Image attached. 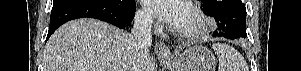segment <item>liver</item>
<instances>
[{
    "label": "liver",
    "mask_w": 301,
    "mask_h": 71,
    "mask_svg": "<svg viewBox=\"0 0 301 71\" xmlns=\"http://www.w3.org/2000/svg\"><path fill=\"white\" fill-rule=\"evenodd\" d=\"M44 71H154L149 50L132 34L102 21L81 18L58 28L43 54Z\"/></svg>",
    "instance_id": "obj_1"
}]
</instances>
